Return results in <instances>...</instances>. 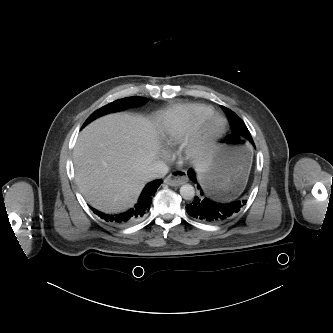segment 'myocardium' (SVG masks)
Instances as JSON below:
<instances>
[{"instance_id":"f54148a6","label":"myocardium","mask_w":333,"mask_h":333,"mask_svg":"<svg viewBox=\"0 0 333 333\" xmlns=\"http://www.w3.org/2000/svg\"><path fill=\"white\" fill-rule=\"evenodd\" d=\"M227 128L226 119L212 113L193 127L184 148L183 157L191 162H204L210 158Z\"/></svg>"}]
</instances>
